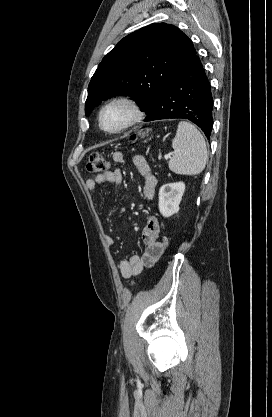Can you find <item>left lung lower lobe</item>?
<instances>
[{
	"mask_svg": "<svg viewBox=\"0 0 272 417\" xmlns=\"http://www.w3.org/2000/svg\"><path fill=\"white\" fill-rule=\"evenodd\" d=\"M211 86L200 59L195 55L174 76L144 121L187 119L209 139L213 125Z\"/></svg>",
	"mask_w": 272,
	"mask_h": 417,
	"instance_id": "left-lung-lower-lobe-1",
	"label": "left lung lower lobe"
}]
</instances>
